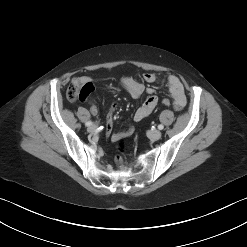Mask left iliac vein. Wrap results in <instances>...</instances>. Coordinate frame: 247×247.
Segmentation results:
<instances>
[{
  "label": "left iliac vein",
  "mask_w": 247,
  "mask_h": 247,
  "mask_svg": "<svg viewBox=\"0 0 247 247\" xmlns=\"http://www.w3.org/2000/svg\"><path fill=\"white\" fill-rule=\"evenodd\" d=\"M162 136V133L161 131L159 130H153L149 133V137L152 139V140H158L160 139Z\"/></svg>",
  "instance_id": "obj_1"
}]
</instances>
